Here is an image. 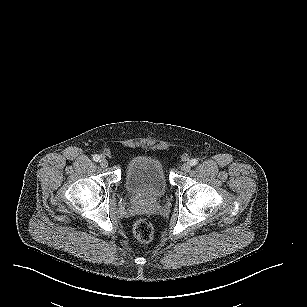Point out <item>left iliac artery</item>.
<instances>
[{
    "instance_id": "left-iliac-artery-1",
    "label": "left iliac artery",
    "mask_w": 307,
    "mask_h": 307,
    "mask_svg": "<svg viewBox=\"0 0 307 307\" xmlns=\"http://www.w3.org/2000/svg\"><path fill=\"white\" fill-rule=\"evenodd\" d=\"M198 164V160L197 159H192L191 161H190V165L191 166H195V165H197Z\"/></svg>"
}]
</instances>
